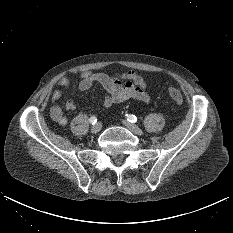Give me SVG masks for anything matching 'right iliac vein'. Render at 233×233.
I'll list each match as a JSON object with an SVG mask.
<instances>
[{"mask_svg":"<svg viewBox=\"0 0 233 233\" xmlns=\"http://www.w3.org/2000/svg\"><path fill=\"white\" fill-rule=\"evenodd\" d=\"M101 128H102V125H101L100 122H98V123L94 124V125L91 127V132H92L93 134H96V133H98V132L101 130Z\"/></svg>","mask_w":233,"mask_h":233,"instance_id":"63e3f726","label":"right iliac vein"}]
</instances>
